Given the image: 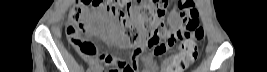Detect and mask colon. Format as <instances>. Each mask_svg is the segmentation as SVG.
<instances>
[{
    "label": "colon",
    "mask_w": 267,
    "mask_h": 72,
    "mask_svg": "<svg viewBox=\"0 0 267 72\" xmlns=\"http://www.w3.org/2000/svg\"><path fill=\"white\" fill-rule=\"evenodd\" d=\"M132 0H80L69 11L66 34L68 41L79 52L80 55L90 56L94 46L88 42L84 34L87 30L85 13L89 9L94 12L110 17L117 31L122 29L123 36L128 43L140 49L142 45L153 47L156 54H161L173 45L175 37L172 31L166 28L164 19L169 11L171 1L160 0L148 2L140 15L131 18ZM182 17L181 39L184 40L180 46L178 55L173 62V72H182L191 65L198 56L197 43L203 38L204 32L197 19V11L193 7V1H179ZM141 19L145 26L136 25V20ZM119 34V32L117 31ZM89 61V60H88ZM98 61L108 72H120L123 65L113 57L104 54L98 57ZM129 70V67L125 68Z\"/></svg>",
    "instance_id": "colon-1"
}]
</instances>
